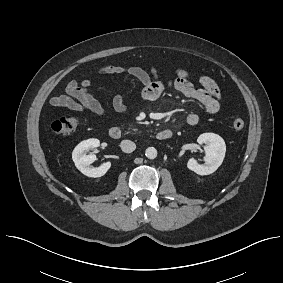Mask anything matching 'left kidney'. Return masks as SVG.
Listing matches in <instances>:
<instances>
[{
	"label": "left kidney",
	"mask_w": 283,
	"mask_h": 283,
	"mask_svg": "<svg viewBox=\"0 0 283 283\" xmlns=\"http://www.w3.org/2000/svg\"><path fill=\"white\" fill-rule=\"evenodd\" d=\"M197 142L205 144V163L199 164L194 158H190L187 162L188 169L199 175L214 173L224 160L226 153L225 141L217 134L203 133L198 137Z\"/></svg>",
	"instance_id": "1"
}]
</instances>
